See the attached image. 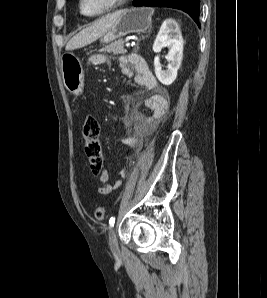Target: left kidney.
Masks as SVG:
<instances>
[{"instance_id": "1", "label": "left kidney", "mask_w": 267, "mask_h": 298, "mask_svg": "<svg viewBox=\"0 0 267 298\" xmlns=\"http://www.w3.org/2000/svg\"><path fill=\"white\" fill-rule=\"evenodd\" d=\"M163 47L169 48L166 56L169 60L167 70H162L159 56L154 58L155 75L163 85H171L181 66L183 58V38L180 27L174 19H166L156 36L153 44V51L159 53Z\"/></svg>"}]
</instances>
